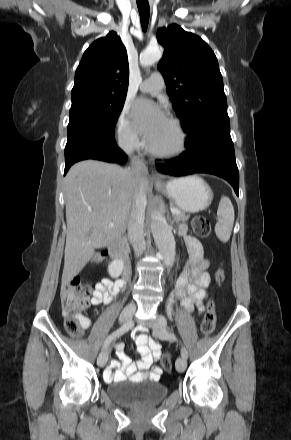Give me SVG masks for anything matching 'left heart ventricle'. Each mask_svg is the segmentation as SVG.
<instances>
[{
    "label": "left heart ventricle",
    "mask_w": 291,
    "mask_h": 440,
    "mask_svg": "<svg viewBox=\"0 0 291 440\" xmlns=\"http://www.w3.org/2000/svg\"><path fill=\"white\" fill-rule=\"evenodd\" d=\"M149 142L152 146L160 150H171L176 146L177 135L168 120L160 127Z\"/></svg>",
    "instance_id": "b2bd125f"
}]
</instances>
